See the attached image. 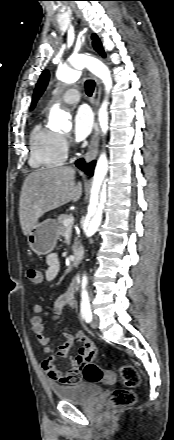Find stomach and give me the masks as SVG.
Listing matches in <instances>:
<instances>
[{
    "label": "stomach",
    "mask_w": 174,
    "mask_h": 440,
    "mask_svg": "<svg viewBox=\"0 0 174 440\" xmlns=\"http://www.w3.org/2000/svg\"><path fill=\"white\" fill-rule=\"evenodd\" d=\"M59 237L58 224L53 219L36 223L27 235L29 247L37 255H46L53 251Z\"/></svg>",
    "instance_id": "1"
}]
</instances>
